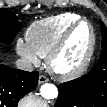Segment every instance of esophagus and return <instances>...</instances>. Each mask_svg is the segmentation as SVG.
Returning <instances> with one entry per match:
<instances>
[{
    "label": "esophagus",
    "mask_w": 107,
    "mask_h": 107,
    "mask_svg": "<svg viewBox=\"0 0 107 107\" xmlns=\"http://www.w3.org/2000/svg\"><path fill=\"white\" fill-rule=\"evenodd\" d=\"M38 81H39V84H42V83L48 82L49 79L46 76H44V75H40Z\"/></svg>",
    "instance_id": "obj_1"
}]
</instances>
